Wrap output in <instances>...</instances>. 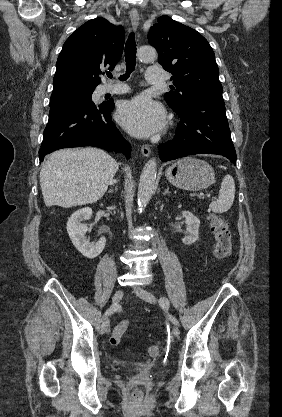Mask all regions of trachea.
<instances>
[{"label":"trachea","mask_w":282,"mask_h":417,"mask_svg":"<svg viewBox=\"0 0 282 417\" xmlns=\"http://www.w3.org/2000/svg\"><path fill=\"white\" fill-rule=\"evenodd\" d=\"M125 62H126V73L121 75L119 79L121 81L127 80L130 73L135 69L136 66V42L134 33H130L126 45H125ZM109 78H113L112 74H107Z\"/></svg>","instance_id":"3493384b"}]
</instances>
